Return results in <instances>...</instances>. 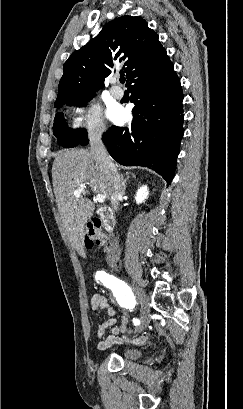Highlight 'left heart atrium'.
I'll return each mask as SVG.
<instances>
[{
  "instance_id": "left-heart-atrium-1",
  "label": "left heart atrium",
  "mask_w": 243,
  "mask_h": 409,
  "mask_svg": "<svg viewBox=\"0 0 243 409\" xmlns=\"http://www.w3.org/2000/svg\"><path fill=\"white\" fill-rule=\"evenodd\" d=\"M109 115H110L111 120L114 121L115 123H123L127 118L125 111L118 107L113 108L110 111Z\"/></svg>"
}]
</instances>
